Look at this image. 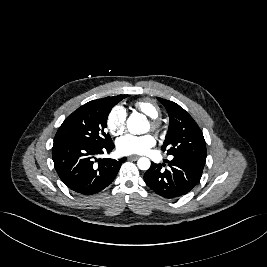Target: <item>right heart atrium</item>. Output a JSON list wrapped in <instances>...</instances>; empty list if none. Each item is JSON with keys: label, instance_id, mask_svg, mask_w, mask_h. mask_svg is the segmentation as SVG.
<instances>
[{"label": "right heart atrium", "instance_id": "obj_1", "mask_svg": "<svg viewBox=\"0 0 267 267\" xmlns=\"http://www.w3.org/2000/svg\"><path fill=\"white\" fill-rule=\"evenodd\" d=\"M127 111L121 105L114 106L107 115L106 125L113 135H120L126 128Z\"/></svg>", "mask_w": 267, "mask_h": 267}]
</instances>
